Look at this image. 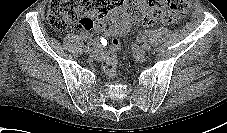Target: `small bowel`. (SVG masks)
<instances>
[{"instance_id": "small-bowel-1", "label": "small bowel", "mask_w": 227, "mask_h": 133, "mask_svg": "<svg viewBox=\"0 0 227 133\" xmlns=\"http://www.w3.org/2000/svg\"><path fill=\"white\" fill-rule=\"evenodd\" d=\"M138 3L145 7L144 0H136ZM132 0H122V3L118 5L114 12L103 19H100L94 25L97 30L103 31L107 36H125L129 33L132 24V17L129 12V5ZM177 20L176 17L166 15L162 18V22L166 25L173 24ZM82 37L86 41L92 40V33L90 30L82 32ZM103 58L102 53L98 56Z\"/></svg>"}]
</instances>
